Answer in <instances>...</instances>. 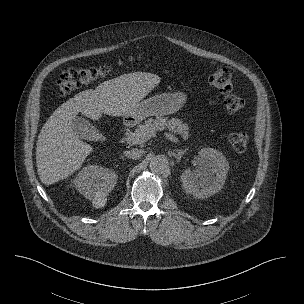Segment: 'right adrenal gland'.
Instances as JSON below:
<instances>
[{
    "mask_svg": "<svg viewBox=\"0 0 304 304\" xmlns=\"http://www.w3.org/2000/svg\"><path fill=\"white\" fill-rule=\"evenodd\" d=\"M120 159H122L123 161L125 160L123 156H121Z\"/></svg>",
    "mask_w": 304,
    "mask_h": 304,
    "instance_id": "2a0ac1e0",
    "label": "right adrenal gland"
}]
</instances>
